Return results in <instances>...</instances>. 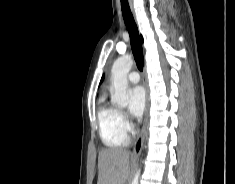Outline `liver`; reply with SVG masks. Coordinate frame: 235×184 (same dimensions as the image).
Returning <instances> with one entry per match:
<instances>
[{
    "instance_id": "1",
    "label": "liver",
    "mask_w": 235,
    "mask_h": 184,
    "mask_svg": "<svg viewBox=\"0 0 235 184\" xmlns=\"http://www.w3.org/2000/svg\"><path fill=\"white\" fill-rule=\"evenodd\" d=\"M97 184H125L130 172V152L108 148L99 152Z\"/></svg>"
}]
</instances>
